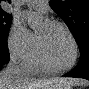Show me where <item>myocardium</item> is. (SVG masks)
<instances>
[{"instance_id": "1", "label": "myocardium", "mask_w": 89, "mask_h": 89, "mask_svg": "<svg viewBox=\"0 0 89 89\" xmlns=\"http://www.w3.org/2000/svg\"><path fill=\"white\" fill-rule=\"evenodd\" d=\"M50 23L63 28L65 30V32L67 33V35L69 36V38L72 42V45H73V49H74L73 59H72L71 63L69 65L65 66V67H60V68L53 67L48 62V60H47V58H46V56H45V54L42 50L40 41H39L37 36H36V51H37V54H38L41 62L43 63V65L46 67V69L49 72H51V73H62V72H65V71L72 69L76 65V63L78 61V56H79V47H78V43H77L72 31L70 30V28L65 23L58 21V20H52Z\"/></svg>"}]
</instances>
